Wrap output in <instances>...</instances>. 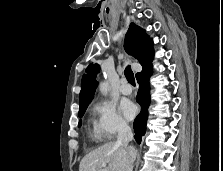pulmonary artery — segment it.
Here are the masks:
<instances>
[{
  "label": "pulmonary artery",
  "instance_id": "e3ab8cb5",
  "mask_svg": "<svg viewBox=\"0 0 223 171\" xmlns=\"http://www.w3.org/2000/svg\"><path fill=\"white\" fill-rule=\"evenodd\" d=\"M119 90L123 95H130L132 93V87L127 83L126 79L121 80V85Z\"/></svg>",
  "mask_w": 223,
  "mask_h": 171
}]
</instances>
